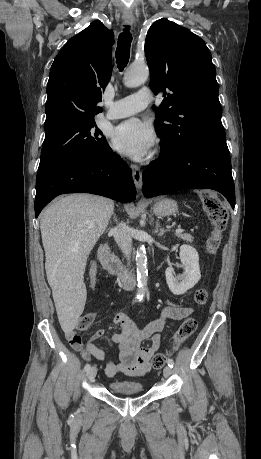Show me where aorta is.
Wrapping results in <instances>:
<instances>
[{"mask_svg":"<svg viewBox=\"0 0 261 459\" xmlns=\"http://www.w3.org/2000/svg\"><path fill=\"white\" fill-rule=\"evenodd\" d=\"M149 77V69L146 65H133L124 74L123 82L126 87L134 88L144 84ZM136 270H137V298L142 300L147 291V255L145 247L142 245L136 251Z\"/></svg>","mask_w":261,"mask_h":459,"instance_id":"obj_1","label":"aorta"}]
</instances>
